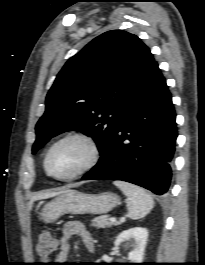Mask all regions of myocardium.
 <instances>
[{
	"label": "myocardium",
	"mask_w": 205,
	"mask_h": 265,
	"mask_svg": "<svg viewBox=\"0 0 205 265\" xmlns=\"http://www.w3.org/2000/svg\"><path fill=\"white\" fill-rule=\"evenodd\" d=\"M68 140H79L84 144H86L89 150V156L86 162L74 173L66 176H58L53 174L48 167L49 156L56 146ZM99 158H100V147L97 141L92 136L83 132H71L60 137L49 146L43 159V167L46 174L49 177L59 181H71L89 172L98 163Z\"/></svg>",
	"instance_id": "1"
}]
</instances>
